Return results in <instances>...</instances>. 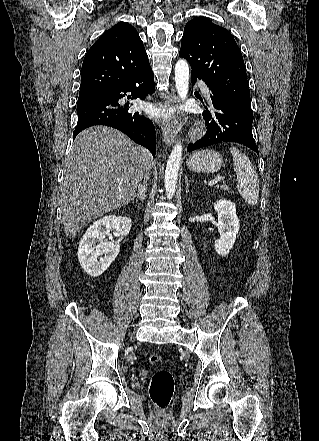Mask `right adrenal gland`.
Masks as SVG:
<instances>
[{"label": "right adrenal gland", "mask_w": 319, "mask_h": 441, "mask_svg": "<svg viewBox=\"0 0 319 441\" xmlns=\"http://www.w3.org/2000/svg\"><path fill=\"white\" fill-rule=\"evenodd\" d=\"M137 199L141 202H144L146 199V186L145 184L143 186L138 187V193L134 196L133 200Z\"/></svg>", "instance_id": "right-adrenal-gland-1"}]
</instances>
